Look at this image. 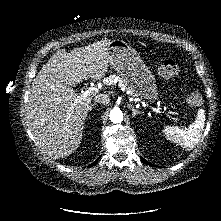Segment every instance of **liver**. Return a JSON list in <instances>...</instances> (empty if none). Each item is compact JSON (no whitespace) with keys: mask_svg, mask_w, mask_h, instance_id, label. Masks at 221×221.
Returning a JSON list of instances; mask_svg holds the SVG:
<instances>
[{"mask_svg":"<svg viewBox=\"0 0 221 221\" xmlns=\"http://www.w3.org/2000/svg\"><path fill=\"white\" fill-rule=\"evenodd\" d=\"M110 43L105 39L69 53L58 50L33 80L28 120L38 145L51 158H65L79 147L92 98L77 100L72 87L105 76Z\"/></svg>","mask_w":221,"mask_h":221,"instance_id":"liver-1","label":"liver"}]
</instances>
